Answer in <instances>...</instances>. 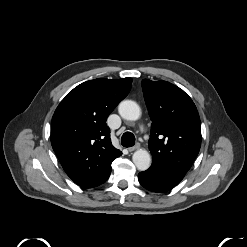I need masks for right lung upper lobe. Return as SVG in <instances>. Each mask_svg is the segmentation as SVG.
Returning a JSON list of instances; mask_svg holds the SVG:
<instances>
[{
	"instance_id": "1",
	"label": "right lung upper lobe",
	"mask_w": 247,
	"mask_h": 247,
	"mask_svg": "<svg viewBox=\"0 0 247 247\" xmlns=\"http://www.w3.org/2000/svg\"><path fill=\"white\" fill-rule=\"evenodd\" d=\"M131 78H98L75 87L52 118L51 144L67 175L82 188L103 184L122 152L110 139L107 117L131 89Z\"/></svg>"
}]
</instances>
